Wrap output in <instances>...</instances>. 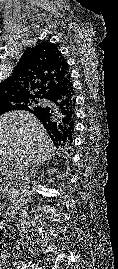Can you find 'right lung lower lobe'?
Listing matches in <instances>:
<instances>
[{"label":"right lung lower lobe","mask_w":118,"mask_h":269,"mask_svg":"<svg viewBox=\"0 0 118 269\" xmlns=\"http://www.w3.org/2000/svg\"><path fill=\"white\" fill-rule=\"evenodd\" d=\"M68 92L71 94L72 96V105H73V110H72V118L70 121V126L68 127L67 130H61L58 134L57 137L52 141L55 144V146L60 145L61 147H64L65 145H71L73 138H72V134L74 132V117H75V113H74V108H75V99H74V91H73V86L71 83V86L68 88ZM50 136V135H49Z\"/></svg>","instance_id":"98d812e1"}]
</instances>
